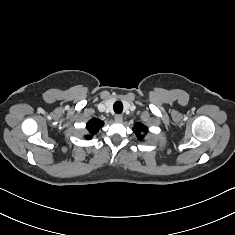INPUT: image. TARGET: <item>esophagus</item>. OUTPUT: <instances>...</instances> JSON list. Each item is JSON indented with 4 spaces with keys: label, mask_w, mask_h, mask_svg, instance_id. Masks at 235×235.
I'll return each mask as SVG.
<instances>
[{
    "label": "esophagus",
    "mask_w": 235,
    "mask_h": 235,
    "mask_svg": "<svg viewBox=\"0 0 235 235\" xmlns=\"http://www.w3.org/2000/svg\"><path fill=\"white\" fill-rule=\"evenodd\" d=\"M114 119H115L116 122H122L123 117H122V115H120V114H116V115L114 116Z\"/></svg>",
    "instance_id": "esophagus-1"
}]
</instances>
